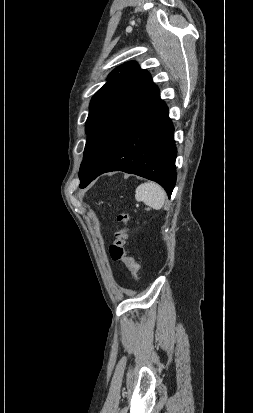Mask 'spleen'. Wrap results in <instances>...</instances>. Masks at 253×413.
<instances>
[{"label": "spleen", "instance_id": "spleen-1", "mask_svg": "<svg viewBox=\"0 0 253 413\" xmlns=\"http://www.w3.org/2000/svg\"><path fill=\"white\" fill-rule=\"evenodd\" d=\"M135 198L138 202L155 210H160L165 203L166 193L164 189L155 182L140 184L135 191Z\"/></svg>", "mask_w": 253, "mask_h": 413}]
</instances>
